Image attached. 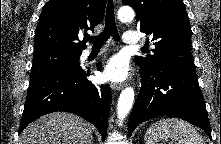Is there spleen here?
Returning a JSON list of instances; mask_svg holds the SVG:
<instances>
[{
	"instance_id": "spleen-1",
	"label": "spleen",
	"mask_w": 221,
	"mask_h": 144,
	"mask_svg": "<svg viewBox=\"0 0 221 144\" xmlns=\"http://www.w3.org/2000/svg\"><path fill=\"white\" fill-rule=\"evenodd\" d=\"M158 139H171L179 144H205L191 124L178 118H164L149 127L145 134V144H156Z\"/></svg>"
}]
</instances>
